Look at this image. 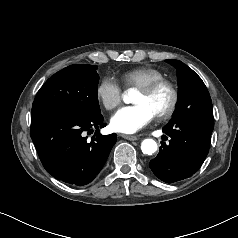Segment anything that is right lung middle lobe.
Here are the masks:
<instances>
[{
	"label": "right lung middle lobe",
	"mask_w": 238,
	"mask_h": 238,
	"mask_svg": "<svg viewBox=\"0 0 238 238\" xmlns=\"http://www.w3.org/2000/svg\"><path fill=\"white\" fill-rule=\"evenodd\" d=\"M96 69V65H72L57 72L38 91L32 111H67L87 117L100 115Z\"/></svg>",
	"instance_id": "obj_1"
}]
</instances>
